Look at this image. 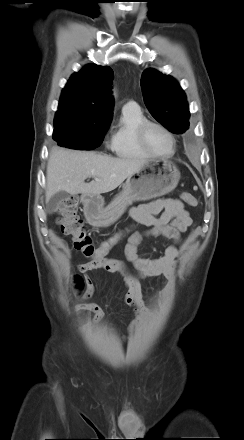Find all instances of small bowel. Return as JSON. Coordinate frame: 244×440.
Listing matches in <instances>:
<instances>
[{"label":"small bowel","mask_w":244,"mask_h":440,"mask_svg":"<svg viewBox=\"0 0 244 440\" xmlns=\"http://www.w3.org/2000/svg\"><path fill=\"white\" fill-rule=\"evenodd\" d=\"M160 214L159 217L156 215ZM131 217L138 223L149 227L143 233H133L125 246V255L136 268V274L128 273L123 264L119 262L117 268L109 270L110 272H120L123 275L127 292L124 301L127 305L134 308L136 318L128 326V334L142 322L144 317L150 315L143 301L141 278L164 276L168 280V285L161 291L163 299L168 300L172 291L176 259L179 250L176 246L180 242L182 232L192 224V218L189 212L184 208L183 203L177 199H158L153 202L133 207L130 210ZM163 236L173 240L174 244L169 246L165 253L156 259H144L137 255V246L144 237ZM85 275V281L88 287V294L93 291V281L88 272L96 268L90 263H84L79 267ZM76 309L91 311L95 314L94 321L100 320L104 313L99 306L94 303H82L76 306ZM123 337V340L127 339Z\"/></svg>","instance_id":"c3829d8e"}]
</instances>
